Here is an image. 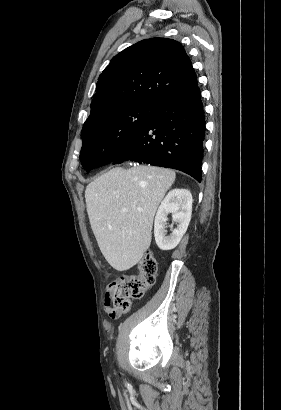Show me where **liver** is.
I'll use <instances>...</instances> for the list:
<instances>
[{"mask_svg": "<svg viewBox=\"0 0 281 410\" xmlns=\"http://www.w3.org/2000/svg\"><path fill=\"white\" fill-rule=\"evenodd\" d=\"M175 178L170 169L136 165L113 168L87 185L90 225L100 251L114 269H130L150 247L156 210Z\"/></svg>", "mask_w": 281, "mask_h": 410, "instance_id": "1", "label": "liver"}]
</instances>
